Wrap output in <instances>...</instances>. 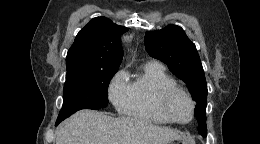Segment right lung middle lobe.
I'll return each mask as SVG.
<instances>
[{
	"label": "right lung middle lobe",
	"instance_id": "dd1d6c3e",
	"mask_svg": "<svg viewBox=\"0 0 260 144\" xmlns=\"http://www.w3.org/2000/svg\"><path fill=\"white\" fill-rule=\"evenodd\" d=\"M118 69L66 74L60 123L81 109H99L108 104V85Z\"/></svg>",
	"mask_w": 260,
	"mask_h": 144
}]
</instances>
